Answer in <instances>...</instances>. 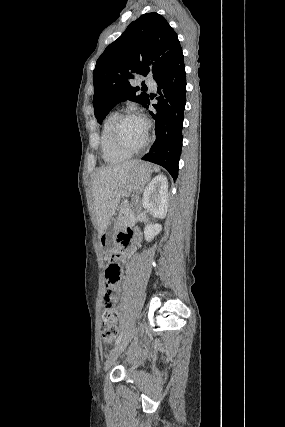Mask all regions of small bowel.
I'll return each instance as SVG.
<instances>
[{
    "instance_id": "small-bowel-1",
    "label": "small bowel",
    "mask_w": 285,
    "mask_h": 427,
    "mask_svg": "<svg viewBox=\"0 0 285 427\" xmlns=\"http://www.w3.org/2000/svg\"><path fill=\"white\" fill-rule=\"evenodd\" d=\"M119 241L123 245L130 244L133 247H136L139 244V232H138V230H136V229L135 230L128 229L126 237L120 238ZM120 293H121L120 286L113 287L111 295L108 296V295H106V292H105V295H104V298H103L104 303L106 301H111L113 304L117 303L119 301V299H120Z\"/></svg>"
}]
</instances>
